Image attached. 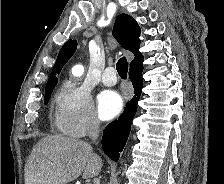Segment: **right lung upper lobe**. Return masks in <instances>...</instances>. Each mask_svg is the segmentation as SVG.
<instances>
[{"label": "right lung upper lobe", "instance_id": "cb5924a9", "mask_svg": "<svg viewBox=\"0 0 224 184\" xmlns=\"http://www.w3.org/2000/svg\"><path fill=\"white\" fill-rule=\"evenodd\" d=\"M141 29L136 20L127 14H120L113 27V36L119 44L126 50L131 51L135 58L130 63V69L143 66V55L139 52ZM77 48L76 40H68L61 48L56 62L54 64L51 75L49 76L45 92L53 90L58 82L56 74H59L65 63L71 58Z\"/></svg>", "mask_w": 224, "mask_h": 184}]
</instances>
